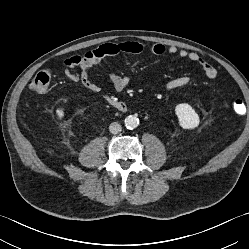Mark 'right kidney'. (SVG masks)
Listing matches in <instances>:
<instances>
[{
	"label": "right kidney",
	"mask_w": 249,
	"mask_h": 249,
	"mask_svg": "<svg viewBox=\"0 0 249 249\" xmlns=\"http://www.w3.org/2000/svg\"><path fill=\"white\" fill-rule=\"evenodd\" d=\"M67 102V99L64 100V103ZM56 115L59 119H62L64 117V108H58L56 110Z\"/></svg>",
	"instance_id": "1"
}]
</instances>
